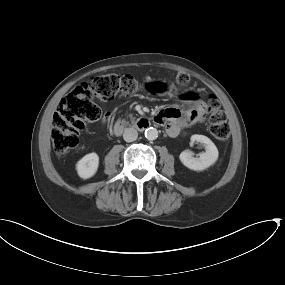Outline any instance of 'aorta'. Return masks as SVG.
Wrapping results in <instances>:
<instances>
[{
	"label": "aorta",
	"mask_w": 285,
	"mask_h": 285,
	"mask_svg": "<svg viewBox=\"0 0 285 285\" xmlns=\"http://www.w3.org/2000/svg\"><path fill=\"white\" fill-rule=\"evenodd\" d=\"M145 137L148 140H155L158 137V131L156 128L149 127L145 130Z\"/></svg>",
	"instance_id": "762f6f07"
}]
</instances>
